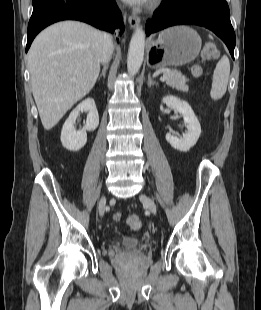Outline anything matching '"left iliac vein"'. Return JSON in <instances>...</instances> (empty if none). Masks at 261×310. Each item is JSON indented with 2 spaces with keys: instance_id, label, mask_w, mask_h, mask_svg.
Returning <instances> with one entry per match:
<instances>
[{
  "instance_id": "left-iliac-vein-1",
  "label": "left iliac vein",
  "mask_w": 261,
  "mask_h": 310,
  "mask_svg": "<svg viewBox=\"0 0 261 310\" xmlns=\"http://www.w3.org/2000/svg\"><path fill=\"white\" fill-rule=\"evenodd\" d=\"M140 200L142 201L143 204H145L148 207V209L153 214H156V212H157L156 205H155L154 201L150 197H148L145 194H141L140 195Z\"/></svg>"
}]
</instances>
